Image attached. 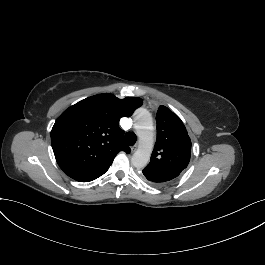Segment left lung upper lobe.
I'll return each instance as SVG.
<instances>
[{
  "mask_svg": "<svg viewBox=\"0 0 265 265\" xmlns=\"http://www.w3.org/2000/svg\"><path fill=\"white\" fill-rule=\"evenodd\" d=\"M156 122L157 141L150 163L142 172L150 183L166 185L187 167L191 140L181 119L167 107L159 106Z\"/></svg>",
  "mask_w": 265,
  "mask_h": 265,
  "instance_id": "left-lung-upper-lobe-1",
  "label": "left lung upper lobe"
}]
</instances>
